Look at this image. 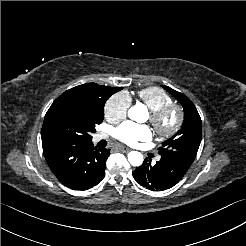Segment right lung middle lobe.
Masks as SVG:
<instances>
[{"label": "right lung middle lobe", "mask_w": 246, "mask_h": 246, "mask_svg": "<svg viewBox=\"0 0 246 246\" xmlns=\"http://www.w3.org/2000/svg\"><path fill=\"white\" fill-rule=\"evenodd\" d=\"M69 98L49 108L42 126V143L89 142L104 119V104Z\"/></svg>", "instance_id": "right-lung-middle-lobe-1"}]
</instances>
